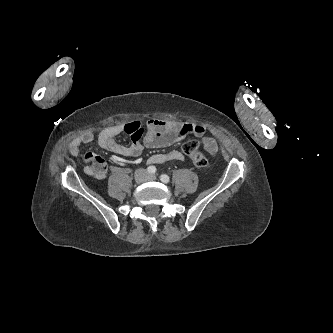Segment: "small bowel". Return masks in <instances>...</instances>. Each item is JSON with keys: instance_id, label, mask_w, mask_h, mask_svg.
<instances>
[{"instance_id": "c3829d8e", "label": "small bowel", "mask_w": 333, "mask_h": 333, "mask_svg": "<svg viewBox=\"0 0 333 333\" xmlns=\"http://www.w3.org/2000/svg\"><path fill=\"white\" fill-rule=\"evenodd\" d=\"M131 136L130 145H122L115 140L120 133ZM188 134H194L202 138L206 151L216 148L213 138L207 136L206 129L200 124L169 121L163 119H150L145 124L141 121H131L126 124L113 125L104 128L97 137L101 148L125 157H136L142 153L144 147L161 148L171 145ZM95 135L86 132L75 138L69 144V152L72 156H78L83 145L92 143ZM199 154H201L199 152ZM183 154L178 150H171L166 153L154 154L149 158L151 164H162L169 161L183 160ZM84 160L87 163L85 172L96 179H103L106 175V166L102 159L92 153H86Z\"/></svg>"}]
</instances>
